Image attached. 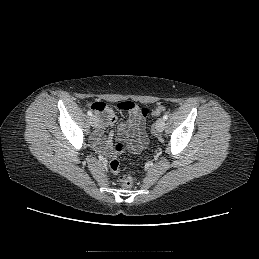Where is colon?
I'll return each instance as SVG.
<instances>
[{
    "label": "colon",
    "mask_w": 259,
    "mask_h": 259,
    "mask_svg": "<svg viewBox=\"0 0 259 259\" xmlns=\"http://www.w3.org/2000/svg\"><path fill=\"white\" fill-rule=\"evenodd\" d=\"M91 107L94 110H102L104 108V103L103 102H95L91 105ZM134 107H135V104L133 102H130V101H125V102H121V103L118 104V108L123 110V111L133 109ZM141 111H142L144 116H147L148 110L146 108H142ZM165 111H166V108L164 106H158L155 109H153L152 114L155 115V116H159L162 113H164ZM114 150L118 154L124 153L127 150V146L123 142H117L114 146ZM110 169L114 173H117L119 171V161L117 160L116 157H114L110 161ZM120 183H121L122 187L129 188L133 184V178H132V176L127 175V174L122 175L120 177Z\"/></svg>",
    "instance_id": "1"
}]
</instances>
